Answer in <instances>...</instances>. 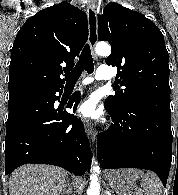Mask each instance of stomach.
<instances>
[{
    "label": "stomach",
    "instance_id": "obj_1",
    "mask_svg": "<svg viewBox=\"0 0 178 195\" xmlns=\"http://www.w3.org/2000/svg\"><path fill=\"white\" fill-rule=\"evenodd\" d=\"M111 189L118 195H131L136 189V179L123 170H111L106 173Z\"/></svg>",
    "mask_w": 178,
    "mask_h": 195
}]
</instances>
